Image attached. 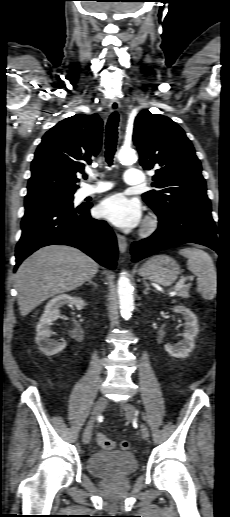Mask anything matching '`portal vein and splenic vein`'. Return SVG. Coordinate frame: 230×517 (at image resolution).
Masks as SVG:
<instances>
[{
    "instance_id": "obj_1",
    "label": "portal vein and splenic vein",
    "mask_w": 230,
    "mask_h": 517,
    "mask_svg": "<svg viewBox=\"0 0 230 517\" xmlns=\"http://www.w3.org/2000/svg\"><path fill=\"white\" fill-rule=\"evenodd\" d=\"M187 280L186 277H181V279L177 282V284L174 287V290L177 291L184 287L185 281Z\"/></svg>"
}]
</instances>
